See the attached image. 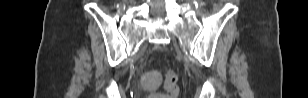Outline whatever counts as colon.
Wrapping results in <instances>:
<instances>
[{"label":"colon","mask_w":308,"mask_h":98,"mask_svg":"<svg viewBox=\"0 0 308 98\" xmlns=\"http://www.w3.org/2000/svg\"><path fill=\"white\" fill-rule=\"evenodd\" d=\"M178 77L174 69L167 71L164 89L165 93H154L149 96V98H175L178 95Z\"/></svg>","instance_id":"colon-1"}]
</instances>
